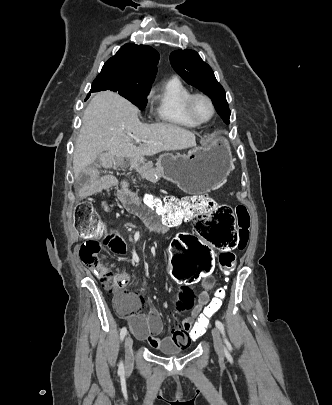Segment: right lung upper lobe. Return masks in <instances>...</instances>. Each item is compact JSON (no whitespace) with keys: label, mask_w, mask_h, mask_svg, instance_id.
Instances as JSON below:
<instances>
[{"label":"right lung upper lobe","mask_w":332,"mask_h":405,"mask_svg":"<svg viewBox=\"0 0 332 405\" xmlns=\"http://www.w3.org/2000/svg\"><path fill=\"white\" fill-rule=\"evenodd\" d=\"M159 53L150 46L128 43L111 57L100 73H116L138 81H153Z\"/></svg>","instance_id":"obj_1"}]
</instances>
